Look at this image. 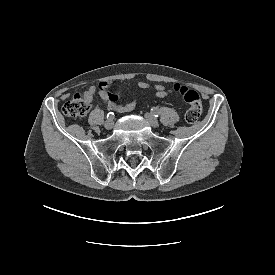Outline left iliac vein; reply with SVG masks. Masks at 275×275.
I'll list each match as a JSON object with an SVG mask.
<instances>
[{
	"mask_svg": "<svg viewBox=\"0 0 275 275\" xmlns=\"http://www.w3.org/2000/svg\"><path fill=\"white\" fill-rule=\"evenodd\" d=\"M145 118L153 128H157L159 126L158 120L151 113H146Z\"/></svg>",
	"mask_w": 275,
	"mask_h": 275,
	"instance_id": "left-iliac-vein-1",
	"label": "left iliac vein"
}]
</instances>
